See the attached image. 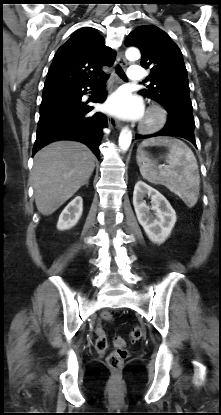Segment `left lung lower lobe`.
<instances>
[{
	"label": "left lung lower lobe",
	"mask_w": 221,
	"mask_h": 415,
	"mask_svg": "<svg viewBox=\"0 0 221 415\" xmlns=\"http://www.w3.org/2000/svg\"><path fill=\"white\" fill-rule=\"evenodd\" d=\"M168 112V121L165 127L152 135H136L135 139H146L155 136H176L189 140L196 146L194 136V117L192 106L186 104H175L165 107Z\"/></svg>",
	"instance_id": "0a47b994"
}]
</instances>
